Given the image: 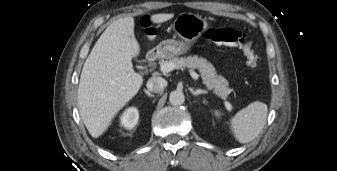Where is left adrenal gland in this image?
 <instances>
[{
  "label": "left adrenal gland",
  "instance_id": "a2214340",
  "mask_svg": "<svg viewBox=\"0 0 337 171\" xmlns=\"http://www.w3.org/2000/svg\"><path fill=\"white\" fill-rule=\"evenodd\" d=\"M191 93L194 95V96H198L200 94H207L208 92L206 90H201V89H197V90H193L191 89Z\"/></svg>",
  "mask_w": 337,
  "mask_h": 171
}]
</instances>
